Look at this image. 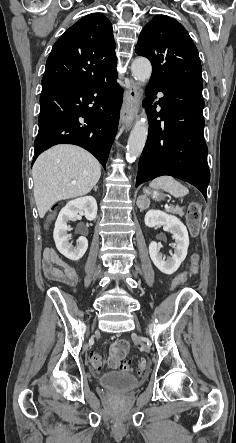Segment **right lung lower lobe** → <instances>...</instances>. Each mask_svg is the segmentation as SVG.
Instances as JSON below:
<instances>
[{"mask_svg":"<svg viewBox=\"0 0 236 443\" xmlns=\"http://www.w3.org/2000/svg\"><path fill=\"white\" fill-rule=\"evenodd\" d=\"M117 72L92 82L42 87L34 159L61 143L83 147L105 167L119 119Z\"/></svg>","mask_w":236,"mask_h":443,"instance_id":"1","label":"right lung lower lobe"}]
</instances>
